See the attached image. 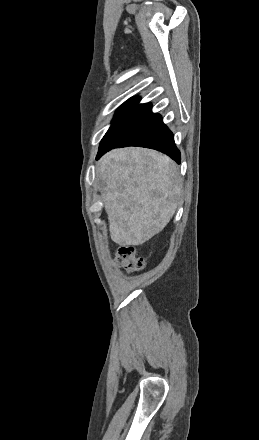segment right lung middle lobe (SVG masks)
Returning <instances> with one entry per match:
<instances>
[{
	"instance_id": "obj_1",
	"label": "right lung middle lobe",
	"mask_w": 259,
	"mask_h": 440,
	"mask_svg": "<svg viewBox=\"0 0 259 440\" xmlns=\"http://www.w3.org/2000/svg\"><path fill=\"white\" fill-rule=\"evenodd\" d=\"M139 101L140 97H132L116 111L112 125L105 134L104 138L129 116V114L138 106Z\"/></svg>"
}]
</instances>
